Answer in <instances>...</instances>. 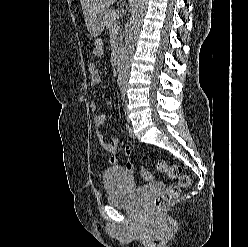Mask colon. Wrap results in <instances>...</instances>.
Here are the masks:
<instances>
[{"label": "colon", "instance_id": "5ec220e1", "mask_svg": "<svg viewBox=\"0 0 248 247\" xmlns=\"http://www.w3.org/2000/svg\"><path fill=\"white\" fill-rule=\"evenodd\" d=\"M156 167L169 179L176 181L175 184L169 185L163 192L151 200V209L158 211L177 198L182 188L189 186L190 177L183 173L181 166L178 164H167L165 161L159 160L156 164ZM141 173L145 179H150L152 177V174L144 167H142Z\"/></svg>", "mask_w": 248, "mask_h": 247}]
</instances>
